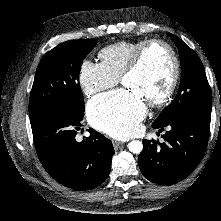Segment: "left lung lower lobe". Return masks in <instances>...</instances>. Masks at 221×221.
I'll return each instance as SVG.
<instances>
[{
    "label": "left lung lower lobe",
    "mask_w": 221,
    "mask_h": 221,
    "mask_svg": "<svg viewBox=\"0 0 221 221\" xmlns=\"http://www.w3.org/2000/svg\"><path fill=\"white\" fill-rule=\"evenodd\" d=\"M211 114L191 112L169 121L164 125L152 124L154 129L169 128L159 143L143 141L139 154L142 174L157 184L171 185L188 175L200 163L209 138Z\"/></svg>",
    "instance_id": "0a47b994"
}]
</instances>
